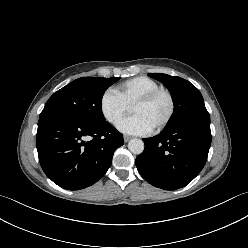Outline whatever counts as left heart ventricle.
<instances>
[{
    "instance_id": "left-heart-ventricle-1",
    "label": "left heart ventricle",
    "mask_w": 248,
    "mask_h": 248,
    "mask_svg": "<svg viewBox=\"0 0 248 248\" xmlns=\"http://www.w3.org/2000/svg\"><path fill=\"white\" fill-rule=\"evenodd\" d=\"M168 111L169 101L165 95L158 96L151 103L132 108V112L144 118L152 129L157 127L165 119Z\"/></svg>"
}]
</instances>
